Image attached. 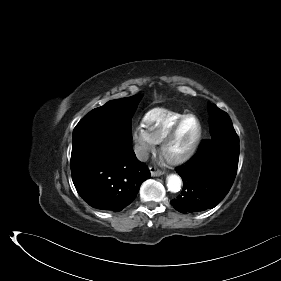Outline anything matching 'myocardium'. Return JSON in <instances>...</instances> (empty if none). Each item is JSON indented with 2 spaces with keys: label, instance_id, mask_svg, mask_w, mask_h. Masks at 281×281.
I'll list each match as a JSON object with an SVG mask.
<instances>
[{
  "label": "myocardium",
  "instance_id": "myocardium-1",
  "mask_svg": "<svg viewBox=\"0 0 281 281\" xmlns=\"http://www.w3.org/2000/svg\"><path fill=\"white\" fill-rule=\"evenodd\" d=\"M189 117H193L197 120L198 123V133L193 140V142L185 148L183 151L175 154V155H169L167 153V148L170 145V143L174 140L176 135L178 134L181 126L185 122L186 119ZM203 136V126L200 118L193 113H187L184 116H182L173 126L172 128L168 131V133L164 136V138L161 141L160 145V152L163 155V157L171 164L178 165L186 162L189 160L194 153L196 152Z\"/></svg>",
  "mask_w": 281,
  "mask_h": 281
}]
</instances>
